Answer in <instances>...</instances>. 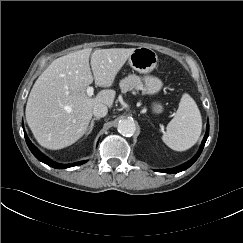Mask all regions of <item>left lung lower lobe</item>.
Listing matches in <instances>:
<instances>
[{"label": "left lung lower lobe", "instance_id": "left-lung-lower-lobe-1", "mask_svg": "<svg viewBox=\"0 0 243 243\" xmlns=\"http://www.w3.org/2000/svg\"><path fill=\"white\" fill-rule=\"evenodd\" d=\"M208 135H209V123L207 124V131H206V134L204 136V139L202 141V144L200 146V149L199 151L197 152V154L191 159L189 160L188 162L178 166V167H175V168H172V169H165V170H159V172H164V173H169V174H173V173H178V172H181L187 168H189L197 159L198 157L200 156L202 150H203V147L205 145V142L208 138Z\"/></svg>", "mask_w": 243, "mask_h": 243}]
</instances>
